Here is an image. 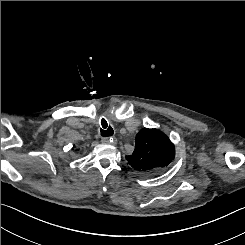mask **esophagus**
<instances>
[{
    "label": "esophagus",
    "instance_id": "34e87169",
    "mask_svg": "<svg viewBox=\"0 0 245 245\" xmlns=\"http://www.w3.org/2000/svg\"><path fill=\"white\" fill-rule=\"evenodd\" d=\"M111 139H112V138L103 137L101 141H102V143H104V144H108L109 142H111Z\"/></svg>",
    "mask_w": 245,
    "mask_h": 245
}]
</instances>
